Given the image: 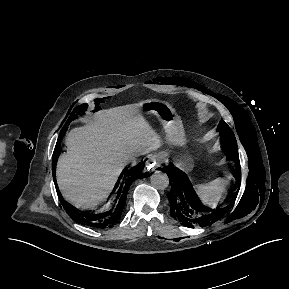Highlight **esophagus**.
<instances>
[{
  "instance_id": "obj_1",
  "label": "esophagus",
  "mask_w": 289,
  "mask_h": 289,
  "mask_svg": "<svg viewBox=\"0 0 289 289\" xmlns=\"http://www.w3.org/2000/svg\"><path fill=\"white\" fill-rule=\"evenodd\" d=\"M146 166L149 170L155 171L161 166V159L158 156H150L146 161Z\"/></svg>"
}]
</instances>
